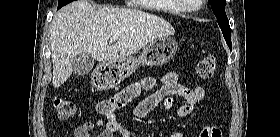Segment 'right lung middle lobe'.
I'll use <instances>...</instances> for the list:
<instances>
[{
	"label": "right lung middle lobe",
	"instance_id": "1",
	"mask_svg": "<svg viewBox=\"0 0 280 137\" xmlns=\"http://www.w3.org/2000/svg\"><path fill=\"white\" fill-rule=\"evenodd\" d=\"M73 0H59L58 2V9H60L61 7H63L64 5L72 2Z\"/></svg>",
	"mask_w": 280,
	"mask_h": 137
}]
</instances>
